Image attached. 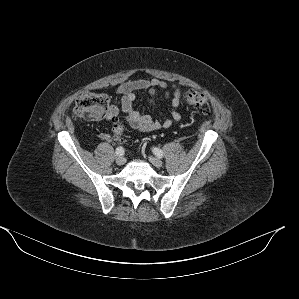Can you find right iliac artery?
<instances>
[{"mask_svg": "<svg viewBox=\"0 0 299 299\" xmlns=\"http://www.w3.org/2000/svg\"><path fill=\"white\" fill-rule=\"evenodd\" d=\"M116 154L121 156L124 154V148L123 147H118L116 148Z\"/></svg>", "mask_w": 299, "mask_h": 299, "instance_id": "1", "label": "right iliac artery"}]
</instances>
